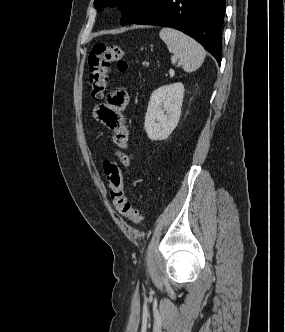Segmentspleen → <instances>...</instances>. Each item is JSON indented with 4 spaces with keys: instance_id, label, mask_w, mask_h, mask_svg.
Segmentation results:
<instances>
[{
    "instance_id": "3e777b00",
    "label": "spleen",
    "mask_w": 285,
    "mask_h": 332,
    "mask_svg": "<svg viewBox=\"0 0 285 332\" xmlns=\"http://www.w3.org/2000/svg\"><path fill=\"white\" fill-rule=\"evenodd\" d=\"M160 38L165 42L170 53H172V64L178 60L186 72L197 70L203 63L206 51L194 39L173 28L165 27L159 32Z\"/></svg>"
}]
</instances>
